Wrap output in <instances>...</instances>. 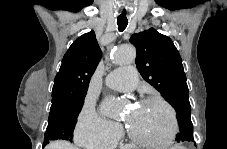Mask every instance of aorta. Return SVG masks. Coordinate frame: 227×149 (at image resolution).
Here are the masks:
<instances>
[{
    "label": "aorta",
    "mask_w": 227,
    "mask_h": 149,
    "mask_svg": "<svg viewBox=\"0 0 227 149\" xmlns=\"http://www.w3.org/2000/svg\"><path fill=\"white\" fill-rule=\"evenodd\" d=\"M136 52L131 46L118 47L114 52V61L117 64H130L134 61ZM101 112L109 117L118 114V101L116 98L109 96L104 99L101 105Z\"/></svg>",
    "instance_id": "762f6f07"
}]
</instances>
